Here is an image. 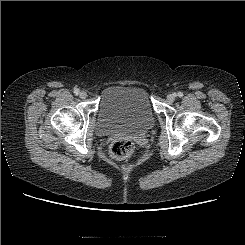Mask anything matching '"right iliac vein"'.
<instances>
[{"label": "right iliac vein", "mask_w": 245, "mask_h": 245, "mask_svg": "<svg viewBox=\"0 0 245 245\" xmlns=\"http://www.w3.org/2000/svg\"><path fill=\"white\" fill-rule=\"evenodd\" d=\"M79 97H80L81 99H86V98H87V93H86L85 91H81V92L79 93Z\"/></svg>", "instance_id": "1"}]
</instances>
